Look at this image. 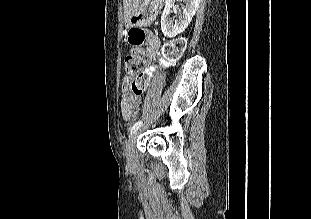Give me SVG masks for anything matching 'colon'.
Listing matches in <instances>:
<instances>
[{
    "mask_svg": "<svg viewBox=\"0 0 311 219\" xmlns=\"http://www.w3.org/2000/svg\"><path fill=\"white\" fill-rule=\"evenodd\" d=\"M144 38V32L139 29L132 30V39L134 43H140ZM185 40L177 38L167 43L163 48V60L167 62L178 59L185 49ZM125 71L128 74L136 75L132 83V90L136 94L142 93L149 82V75L143 73L144 62L139 51L128 55L124 61Z\"/></svg>",
    "mask_w": 311,
    "mask_h": 219,
    "instance_id": "colon-1",
    "label": "colon"
}]
</instances>
